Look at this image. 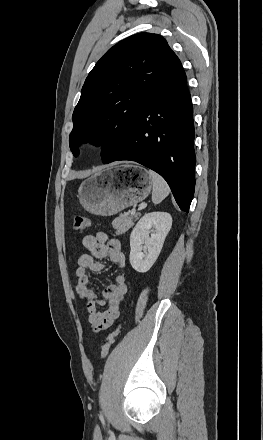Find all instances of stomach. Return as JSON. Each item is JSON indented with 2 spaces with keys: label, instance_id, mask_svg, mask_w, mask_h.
<instances>
[{
  "label": "stomach",
  "instance_id": "stomach-1",
  "mask_svg": "<svg viewBox=\"0 0 263 440\" xmlns=\"http://www.w3.org/2000/svg\"><path fill=\"white\" fill-rule=\"evenodd\" d=\"M151 188L152 180L146 169L130 165L115 166L103 169L83 181L78 197L88 212L111 216L143 201Z\"/></svg>",
  "mask_w": 263,
  "mask_h": 440
}]
</instances>
